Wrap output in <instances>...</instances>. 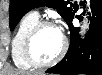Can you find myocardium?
Wrapping results in <instances>:
<instances>
[{"label":"myocardium","instance_id":"obj_1","mask_svg":"<svg viewBox=\"0 0 102 75\" xmlns=\"http://www.w3.org/2000/svg\"><path fill=\"white\" fill-rule=\"evenodd\" d=\"M47 26H52V27H55L59 30L58 26L55 24L54 21H52L50 19L39 20L34 24V26L31 28V30L29 31V33L27 34V36L24 40L23 50H24V53H25L27 60L29 61V63L32 66H36V67L52 66L55 63H57L58 61H60L67 51V48H68L67 39L63 35V33L61 32L62 40H63L62 41V48H61L60 52L52 60L44 62V61L39 60L35 56V54L33 52L34 40L37 37V35L39 34V32Z\"/></svg>","mask_w":102,"mask_h":75}]
</instances>
